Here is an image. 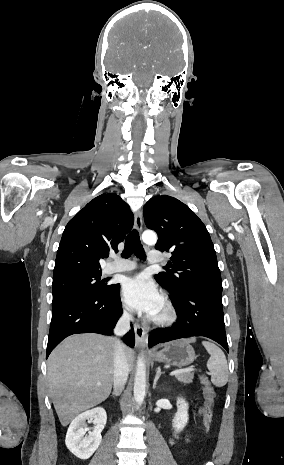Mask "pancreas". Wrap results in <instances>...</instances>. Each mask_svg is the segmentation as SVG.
<instances>
[{"mask_svg":"<svg viewBox=\"0 0 284 465\" xmlns=\"http://www.w3.org/2000/svg\"><path fill=\"white\" fill-rule=\"evenodd\" d=\"M175 377L178 381H182V383H192L194 373H179V375H175Z\"/></svg>","mask_w":284,"mask_h":465,"instance_id":"pancreas-1","label":"pancreas"}]
</instances>
